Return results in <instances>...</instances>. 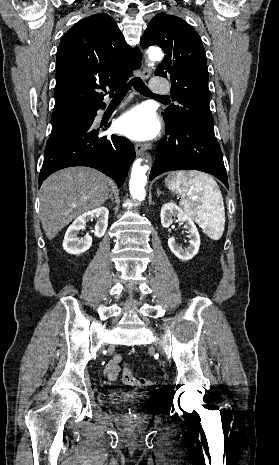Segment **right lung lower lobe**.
Returning <instances> with one entry per match:
<instances>
[{"instance_id": "right-lung-lower-lobe-1", "label": "right lung lower lobe", "mask_w": 279, "mask_h": 465, "mask_svg": "<svg viewBox=\"0 0 279 465\" xmlns=\"http://www.w3.org/2000/svg\"><path fill=\"white\" fill-rule=\"evenodd\" d=\"M100 102L80 117V126L67 134L54 147L45 151L39 175V185L53 172L70 166H88L110 176L120 188L124 183L129 166L135 158L133 144L124 137L102 135V126L97 127L94 119L97 110L104 109ZM106 126V125H105Z\"/></svg>"}]
</instances>
